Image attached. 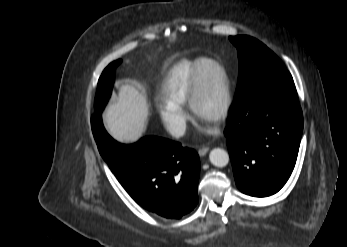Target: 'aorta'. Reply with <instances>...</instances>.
I'll list each match as a JSON object with an SVG mask.
<instances>
[{"label":"aorta","mask_w":347,"mask_h":247,"mask_svg":"<svg viewBox=\"0 0 347 247\" xmlns=\"http://www.w3.org/2000/svg\"><path fill=\"white\" fill-rule=\"evenodd\" d=\"M210 162L217 167H225L229 163V154L222 148H214L209 154Z\"/></svg>","instance_id":"1"}]
</instances>
